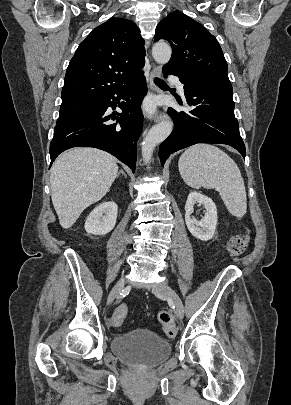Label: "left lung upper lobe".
Wrapping results in <instances>:
<instances>
[{"label": "left lung upper lobe", "instance_id": "obj_1", "mask_svg": "<svg viewBox=\"0 0 291 405\" xmlns=\"http://www.w3.org/2000/svg\"><path fill=\"white\" fill-rule=\"evenodd\" d=\"M167 40L172 47L170 61L163 67L186 78L230 82L227 62L217 39L203 25L180 11H174L156 27L155 41Z\"/></svg>", "mask_w": 291, "mask_h": 405}]
</instances>
